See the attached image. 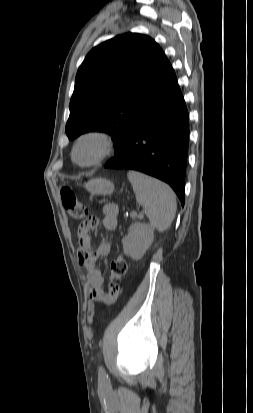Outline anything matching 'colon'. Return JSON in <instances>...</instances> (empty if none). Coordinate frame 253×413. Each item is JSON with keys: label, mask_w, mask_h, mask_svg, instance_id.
<instances>
[{"label": "colon", "mask_w": 253, "mask_h": 413, "mask_svg": "<svg viewBox=\"0 0 253 413\" xmlns=\"http://www.w3.org/2000/svg\"><path fill=\"white\" fill-rule=\"evenodd\" d=\"M61 199L65 210L72 218L82 219L87 216V208L81 203L71 189L62 188ZM127 268L128 264L126 258L123 255H119L111 262L110 274H113L115 278L119 280L126 274Z\"/></svg>", "instance_id": "1"}]
</instances>
